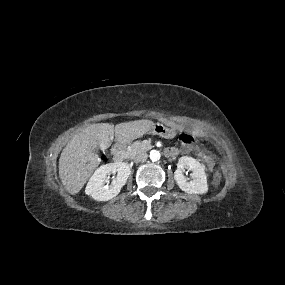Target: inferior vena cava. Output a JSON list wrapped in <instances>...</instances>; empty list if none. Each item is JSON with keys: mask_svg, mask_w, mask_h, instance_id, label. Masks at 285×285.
I'll return each instance as SVG.
<instances>
[{"mask_svg": "<svg viewBox=\"0 0 285 285\" xmlns=\"http://www.w3.org/2000/svg\"><path fill=\"white\" fill-rule=\"evenodd\" d=\"M147 157H148L147 153L141 152V153H138L137 155H135L134 161L136 163L145 162L147 160Z\"/></svg>", "mask_w": 285, "mask_h": 285, "instance_id": "1", "label": "inferior vena cava"}]
</instances>
